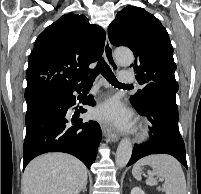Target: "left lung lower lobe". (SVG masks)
<instances>
[{"label": "left lung lower lobe", "mask_w": 201, "mask_h": 194, "mask_svg": "<svg viewBox=\"0 0 201 194\" xmlns=\"http://www.w3.org/2000/svg\"><path fill=\"white\" fill-rule=\"evenodd\" d=\"M151 123L150 142L135 145L127 166L134 164L142 157L151 154H170L187 168L185 145L178 127V108L176 100L158 96L143 107L136 108Z\"/></svg>", "instance_id": "obj_1"}]
</instances>
